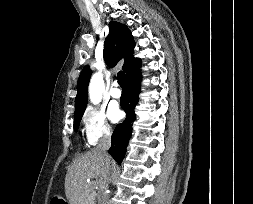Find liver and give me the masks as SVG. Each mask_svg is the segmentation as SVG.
<instances>
[{
  "label": "liver",
  "mask_w": 253,
  "mask_h": 204,
  "mask_svg": "<svg viewBox=\"0 0 253 204\" xmlns=\"http://www.w3.org/2000/svg\"><path fill=\"white\" fill-rule=\"evenodd\" d=\"M109 162L112 164L110 156ZM105 166L106 159L97 148L91 149L74 160L65 178V191L69 204H82L86 179L99 178L101 180Z\"/></svg>",
  "instance_id": "6515ba94"
}]
</instances>
